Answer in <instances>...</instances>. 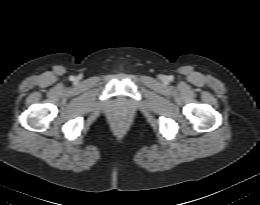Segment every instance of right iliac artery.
Listing matches in <instances>:
<instances>
[{
  "label": "right iliac artery",
  "mask_w": 260,
  "mask_h": 205,
  "mask_svg": "<svg viewBox=\"0 0 260 205\" xmlns=\"http://www.w3.org/2000/svg\"><path fill=\"white\" fill-rule=\"evenodd\" d=\"M74 79H75L74 76H71V77H70V80H71V81H73Z\"/></svg>",
  "instance_id": "obj_1"
}]
</instances>
